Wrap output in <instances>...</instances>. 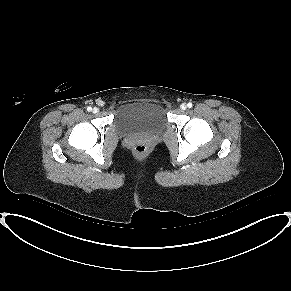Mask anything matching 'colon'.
I'll return each instance as SVG.
<instances>
[{
	"label": "colon",
	"instance_id": "1",
	"mask_svg": "<svg viewBox=\"0 0 291 291\" xmlns=\"http://www.w3.org/2000/svg\"><path fill=\"white\" fill-rule=\"evenodd\" d=\"M132 151L137 158H144L148 154V147L143 143H138L133 147Z\"/></svg>",
	"mask_w": 291,
	"mask_h": 291
}]
</instances>
